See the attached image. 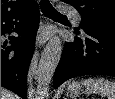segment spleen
Segmentation results:
<instances>
[{"label":"spleen","instance_id":"obj_1","mask_svg":"<svg viewBox=\"0 0 115 99\" xmlns=\"http://www.w3.org/2000/svg\"><path fill=\"white\" fill-rule=\"evenodd\" d=\"M82 85L87 87L88 93H98L107 99H115V83L110 82L104 78L86 79L83 80Z\"/></svg>","mask_w":115,"mask_h":99}]
</instances>
